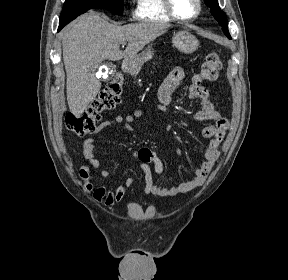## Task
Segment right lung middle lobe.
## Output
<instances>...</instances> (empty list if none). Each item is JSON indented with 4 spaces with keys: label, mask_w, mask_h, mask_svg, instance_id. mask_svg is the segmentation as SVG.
Returning a JSON list of instances; mask_svg holds the SVG:
<instances>
[{
    "label": "right lung middle lobe",
    "mask_w": 288,
    "mask_h": 280,
    "mask_svg": "<svg viewBox=\"0 0 288 280\" xmlns=\"http://www.w3.org/2000/svg\"><path fill=\"white\" fill-rule=\"evenodd\" d=\"M123 0H66L59 20L94 8L106 9L117 15L123 13Z\"/></svg>",
    "instance_id": "1"
}]
</instances>
